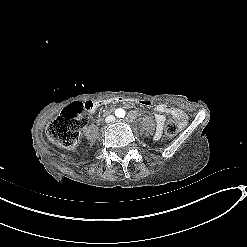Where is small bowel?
Listing matches in <instances>:
<instances>
[{
    "label": "small bowel",
    "mask_w": 247,
    "mask_h": 247,
    "mask_svg": "<svg viewBox=\"0 0 247 247\" xmlns=\"http://www.w3.org/2000/svg\"><path fill=\"white\" fill-rule=\"evenodd\" d=\"M153 109L156 111L155 124L157 134L161 133L166 121V117L168 115L176 119L180 126H183L185 124V115L181 110L177 108L169 107L165 104H157L153 107Z\"/></svg>",
    "instance_id": "obj_1"
}]
</instances>
